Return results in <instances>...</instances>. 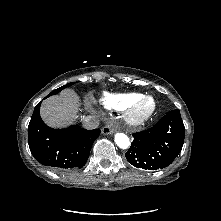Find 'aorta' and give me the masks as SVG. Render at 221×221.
Returning <instances> with one entry per match:
<instances>
[{
  "label": "aorta",
  "instance_id": "obj_1",
  "mask_svg": "<svg viewBox=\"0 0 221 221\" xmlns=\"http://www.w3.org/2000/svg\"><path fill=\"white\" fill-rule=\"evenodd\" d=\"M115 142L121 149H127L130 146V140L124 133H117L115 135Z\"/></svg>",
  "mask_w": 221,
  "mask_h": 221
}]
</instances>
